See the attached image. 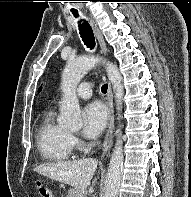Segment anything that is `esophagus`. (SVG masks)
Listing matches in <instances>:
<instances>
[{
	"mask_svg": "<svg viewBox=\"0 0 191 197\" xmlns=\"http://www.w3.org/2000/svg\"><path fill=\"white\" fill-rule=\"evenodd\" d=\"M91 26L93 28L94 34L98 40L101 51L104 55H107L108 49L103 38L101 31L98 26L94 22V20L90 19ZM107 105H108V128L105 135L104 143H103V156L107 153V151L111 148L113 142V131H114V106H113V93L110 82L108 83V92H107Z\"/></svg>",
	"mask_w": 191,
	"mask_h": 197,
	"instance_id": "1",
	"label": "esophagus"
}]
</instances>
